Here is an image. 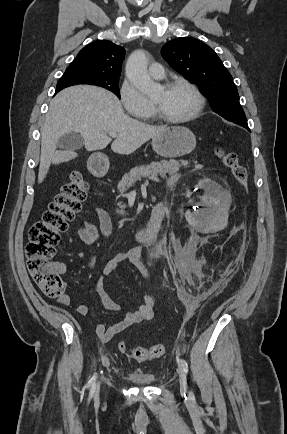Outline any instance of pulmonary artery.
Here are the masks:
<instances>
[{"instance_id": "pulmonary-artery-1", "label": "pulmonary artery", "mask_w": 287, "mask_h": 434, "mask_svg": "<svg viewBox=\"0 0 287 434\" xmlns=\"http://www.w3.org/2000/svg\"><path fill=\"white\" fill-rule=\"evenodd\" d=\"M149 74L151 77L155 79H162L165 76V71L163 66L160 63L155 62L150 65Z\"/></svg>"}]
</instances>
